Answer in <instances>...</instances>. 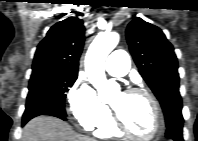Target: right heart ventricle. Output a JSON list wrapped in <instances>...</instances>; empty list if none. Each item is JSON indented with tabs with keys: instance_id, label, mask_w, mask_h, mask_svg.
<instances>
[{
	"instance_id": "1",
	"label": "right heart ventricle",
	"mask_w": 198,
	"mask_h": 141,
	"mask_svg": "<svg viewBox=\"0 0 198 141\" xmlns=\"http://www.w3.org/2000/svg\"><path fill=\"white\" fill-rule=\"evenodd\" d=\"M95 129V134L99 137H119L121 135L110 116Z\"/></svg>"
}]
</instances>
